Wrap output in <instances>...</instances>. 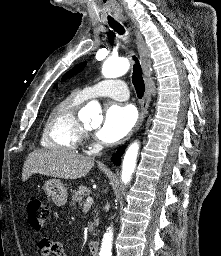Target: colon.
Segmentation results:
<instances>
[{
    "label": "colon",
    "mask_w": 221,
    "mask_h": 256,
    "mask_svg": "<svg viewBox=\"0 0 221 256\" xmlns=\"http://www.w3.org/2000/svg\"><path fill=\"white\" fill-rule=\"evenodd\" d=\"M26 207L31 227L35 230L42 229L49 217L47 205L40 198L31 196L27 200Z\"/></svg>",
    "instance_id": "colon-1"
}]
</instances>
